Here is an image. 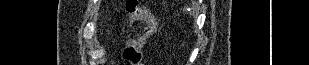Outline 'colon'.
I'll list each match as a JSON object with an SVG mask.
<instances>
[{
	"label": "colon",
	"mask_w": 309,
	"mask_h": 65,
	"mask_svg": "<svg viewBox=\"0 0 309 65\" xmlns=\"http://www.w3.org/2000/svg\"><path fill=\"white\" fill-rule=\"evenodd\" d=\"M125 18L128 23L137 21L146 22L142 35L130 41L123 51V59L126 65H140L142 61V50L147 41L155 34L157 22L145 4L136 0L127 2Z\"/></svg>",
	"instance_id": "5ec220e1"
}]
</instances>
